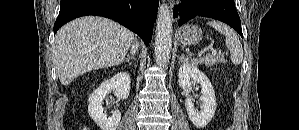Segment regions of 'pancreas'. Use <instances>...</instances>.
<instances>
[{
	"label": "pancreas",
	"mask_w": 299,
	"mask_h": 130,
	"mask_svg": "<svg viewBox=\"0 0 299 130\" xmlns=\"http://www.w3.org/2000/svg\"><path fill=\"white\" fill-rule=\"evenodd\" d=\"M224 62L223 57H218V56H214V55H207L205 57H202L200 59H193L191 60V63L194 65H198V64H203L207 67H212L217 63H222Z\"/></svg>",
	"instance_id": "pancreas-1"
}]
</instances>
